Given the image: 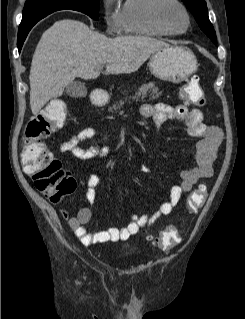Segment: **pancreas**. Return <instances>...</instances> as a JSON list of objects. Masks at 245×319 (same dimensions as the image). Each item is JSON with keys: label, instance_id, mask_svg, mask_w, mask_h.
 Instances as JSON below:
<instances>
[{"label": "pancreas", "instance_id": "pancreas-1", "mask_svg": "<svg viewBox=\"0 0 245 319\" xmlns=\"http://www.w3.org/2000/svg\"><path fill=\"white\" fill-rule=\"evenodd\" d=\"M162 94V91H159L158 87L155 86L154 82H150L147 84H143L139 87V89L135 92L133 96H130L129 98H132L133 100H143L146 97L149 96L150 100H154L158 98ZM127 98L125 99V101ZM124 104V101H120L119 103L116 102L109 106L108 110L109 112L117 111L121 108V106Z\"/></svg>", "mask_w": 245, "mask_h": 319}]
</instances>
